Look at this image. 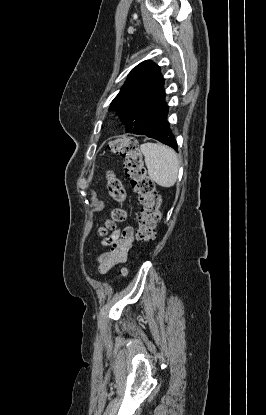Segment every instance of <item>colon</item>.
Here are the masks:
<instances>
[{
	"instance_id": "obj_1",
	"label": "colon",
	"mask_w": 266,
	"mask_h": 415,
	"mask_svg": "<svg viewBox=\"0 0 266 415\" xmlns=\"http://www.w3.org/2000/svg\"><path fill=\"white\" fill-rule=\"evenodd\" d=\"M108 152L124 158L125 174L129 178L130 185L136 193L140 211L138 215V228L136 237L140 242H150L156 235V225L160 220V195L155 188L153 180L148 176L144 164L143 155L134 138L121 137L111 141ZM107 188L110 196L119 204L111 211V219L100 228V234L105 235L115 224L126 218V212L121 204L126 199V191L121 181L112 173L107 175ZM123 275L128 274L127 269H122Z\"/></svg>"
}]
</instances>
